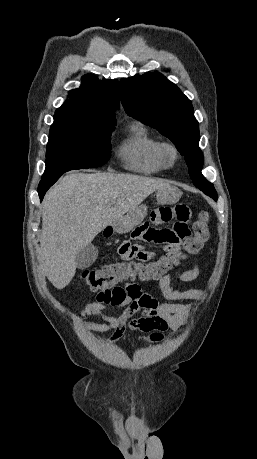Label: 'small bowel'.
I'll return each mask as SVG.
<instances>
[{
  "label": "small bowel",
  "mask_w": 257,
  "mask_h": 459,
  "mask_svg": "<svg viewBox=\"0 0 257 459\" xmlns=\"http://www.w3.org/2000/svg\"><path fill=\"white\" fill-rule=\"evenodd\" d=\"M192 218L191 205H184L182 200H176L174 205H153L149 215L152 224L139 223L138 227H133L128 239L119 240L115 250L117 264L157 261L158 251L155 247L159 251H171L173 256L176 251H183L185 242L197 234L196 227H189ZM174 264H190L191 268L159 278L160 290L168 302L160 304L135 281L128 282L125 287L106 288L99 291L96 301L85 304L80 311L84 328L94 332L111 331V343L117 342L126 330L149 333L148 339L158 342L169 328L179 329L187 321L193 307L188 301L199 299L203 292L198 288L173 289V283L192 282L200 275L199 265L191 259L179 260ZM112 308L122 311L114 316L109 313ZM87 317H96L101 321H88Z\"/></svg>",
  "instance_id": "small-bowel-1"
}]
</instances>
